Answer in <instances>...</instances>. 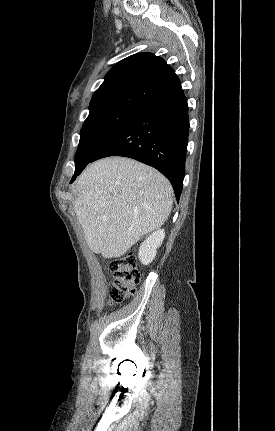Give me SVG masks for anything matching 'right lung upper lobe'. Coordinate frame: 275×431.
<instances>
[{"label":"right lung upper lobe","instance_id":"cb5924a9","mask_svg":"<svg viewBox=\"0 0 275 431\" xmlns=\"http://www.w3.org/2000/svg\"><path fill=\"white\" fill-rule=\"evenodd\" d=\"M181 84L159 56L138 53L114 65L90 101L91 114L112 109L138 110Z\"/></svg>","mask_w":275,"mask_h":431}]
</instances>
